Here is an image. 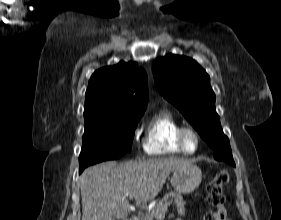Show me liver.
Segmentation results:
<instances>
[{
    "label": "liver",
    "instance_id": "obj_1",
    "mask_svg": "<svg viewBox=\"0 0 281 220\" xmlns=\"http://www.w3.org/2000/svg\"><path fill=\"white\" fill-rule=\"evenodd\" d=\"M193 162L168 157L124 164L108 161L86 168L80 177L82 220H124L129 214L127 192H135L137 205L146 204L158 195L172 171Z\"/></svg>",
    "mask_w": 281,
    "mask_h": 220
}]
</instances>
